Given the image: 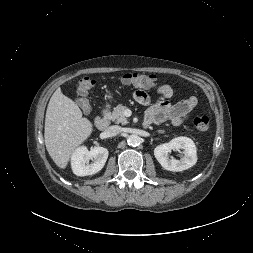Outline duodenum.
Returning <instances> with one entry per match:
<instances>
[{
    "label": "duodenum",
    "instance_id": "duodenum-1",
    "mask_svg": "<svg viewBox=\"0 0 253 253\" xmlns=\"http://www.w3.org/2000/svg\"><path fill=\"white\" fill-rule=\"evenodd\" d=\"M95 126L99 130H105L109 125L108 109L105 108L100 115L95 118Z\"/></svg>",
    "mask_w": 253,
    "mask_h": 253
}]
</instances>
